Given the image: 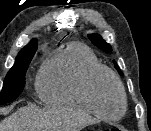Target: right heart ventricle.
Masks as SVG:
<instances>
[{
  "instance_id": "e07e8e85",
  "label": "right heart ventricle",
  "mask_w": 151,
  "mask_h": 131,
  "mask_svg": "<svg viewBox=\"0 0 151 131\" xmlns=\"http://www.w3.org/2000/svg\"><path fill=\"white\" fill-rule=\"evenodd\" d=\"M96 65L99 61L90 48L79 42L68 43L44 62L37 81L40 98L49 105L91 113L82 95V83Z\"/></svg>"
}]
</instances>
